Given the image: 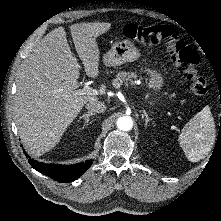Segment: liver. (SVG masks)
<instances>
[{
	"instance_id": "obj_1",
	"label": "liver",
	"mask_w": 221,
	"mask_h": 221,
	"mask_svg": "<svg viewBox=\"0 0 221 221\" xmlns=\"http://www.w3.org/2000/svg\"><path fill=\"white\" fill-rule=\"evenodd\" d=\"M70 33L87 76L99 75L97 37L111 28L108 22L72 24ZM80 65L73 56L65 29L49 32L20 67L14 111L26 149L40 155L53 148L83 106L94 96L78 95ZM105 85L100 87L104 93Z\"/></svg>"
}]
</instances>
